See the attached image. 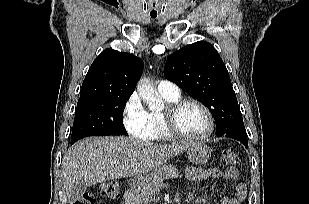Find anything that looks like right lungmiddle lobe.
Returning <instances> with one entry per match:
<instances>
[{
  "mask_svg": "<svg viewBox=\"0 0 309 204\" xmlns=\"http://www.w3.org/2000/svg\"><path fill=\"white\" fill-rule=\"evenodd\" d=\"M129 97H104L78 103L71 142L87 136L128 135L123 111Z\"/></svg>",
  "mask_w": 309,
  "mask_h": 204,
  "instance_id": "obj_1",
  "label": "right lung middle lobe"
}]
</instances>
